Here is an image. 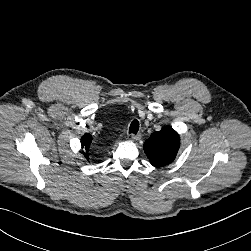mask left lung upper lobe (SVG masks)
Listing matches in <instances>:
<instances>
[{"mask_svg":"<svg viewBox=\"0 0 251 251\" xmlns=\"http://www.w3.org/2000/svg\"><path fill=\"white\" fill-rule=\"evenodd\" d=\"M179 147V135L169 126L152 133L143 145L144 151L154 167H163L173 162Z\"/></svg>","mask_w":251,"mask_h":251,"instance_id":"5c2ea615","label":"left lung upper lobe"}]
</instances>
